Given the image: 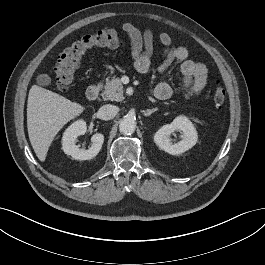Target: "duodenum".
I'll return each mask as SVG.
<instances>
[{"label":"duodenum","mask_w":265,"mask_h":265,"mask_svg":"<svg viewBox=\"0 0 265 265\" xmlns=\"http://www.w3.org/2000/svg\"><path fill=\"white\" fill-rule=\"evenodd\" d=\"M100 92V86L98 84L90 85L86 90V97L89 100H95Z\"/></svg>","instance_id":"duodenum-1"}]
</instances>
